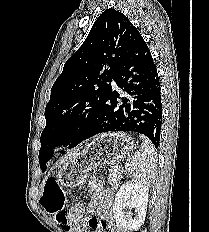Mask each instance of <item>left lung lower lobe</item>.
Segmentation results:
<instances>
[{
  "label": "left lung lower lobe",
  "mask_w": 209,
  "mask_h": 232,
  "mask_svg": "<svg viewBox=\"0 0 209 232\" xmlns=\"http://www.w3.org/2000/svg\"><path fill=\"white\" fill-rule=\"evenodd\" d=\"M115 82L127 95L120 96L112 91L83 141L104 132L132 131L147 136L156 148L159 147L162 125L160 81L142 37L120 68Z\"/></svg>",
  "instance_id": "obj_1"
}]
</instances>
